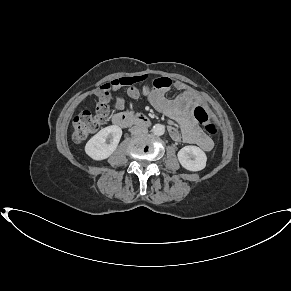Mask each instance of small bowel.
<instances>
[{
    "mask_svg": "<svg viewBox=\"0 0 291 291\" xmlns=\"http://www.w3.org/2000/svg\"><path fill=\"white\" fill-rule=\"evenodd\" d=\"M162 81H166L167 85L158 86ZM172 87L181 91V94L175 99L166 97L167 91ZM148 100L156 110L174 119L179 124L180 130L175 127L169 128V134L173 140L197 145L204 151L212 149V140L201 130L189 113V109L198 104L199 99L186 84L180 81L173 82L165 77L157 78L154 81L153 90L148 95ZM114 107L116 110H122L124 100L121 97H116Z\"/></svg>",
    "mask_w": 291,
    "mask_h": 291,
    "instance_id": "small-bowel-1",
    "label": "small bowel"
}]
</instances>
